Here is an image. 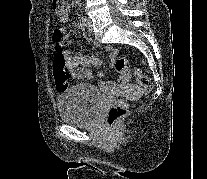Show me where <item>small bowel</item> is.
<instances>
[{"mask_svg": "<svg viewBox=\"0 0 207 179\" xmlns=\"http://www.w3.org/2000/svg\"><path fill=\"white\" fill-rule=\"evenodd\" d=\"M69 12L70 8L68 5V10L66 11L65 14L59 17L60 22H66L69 17ZM59 30L64 36L66 34L65 29L60 28L56 29ZM54 30V31H56ZM99 46V44H96ZM105 50L109 53L110 56V66L115 67V60L117 56L119 55V52L117 49L112 48V47H106ZM64 56L67 60V65L68 68L71 72V75L75 79H88L91 80L94 78L93 73L90 71L91 67H97L101 65V61L99 58H97L94 54H81L78 53L76 55H71L69 51H64ZM96 76L98 78H103L104 74L103 72L99 71L97 72ZM130 77L126 78L123 77L122 75L120 76V83L125 84L129 81ZM59 88L60 85L57 84ZM117 86V83L114 80H109V81H102L99 83V89L102 91H110L111 89L115 88ZM62 89V88H61Z\"/></svg>", "mask_w": 207, "mask_h": 179, "instance_id": "obj_1", "label": "small bowel"}]
</instances>
